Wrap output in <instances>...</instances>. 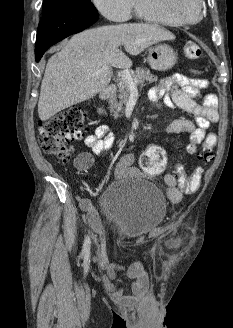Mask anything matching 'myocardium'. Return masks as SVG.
<instances>
[{
	"mask_svg": "<svg viewBox=\"0 0 233 328\" xmlns=\"http://www.w3.org/2000/svg\"><path fill=\"white\" fill-rule=\"evenodd\" d=\"M147 8L180 26H191L203 19V0H197L198 15L194 19L182 17L176 10L175 0H144Z\"/></svg>",
	"mask_w": 233,
	"mask_h": 328,
	"instance_id": "obj_1",
	"label": "myocardium"
}]
</instances>
